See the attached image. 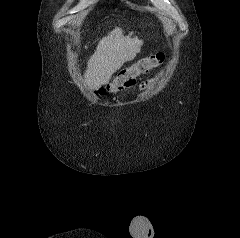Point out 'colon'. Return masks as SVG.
<instances>
[{"label":"colon","instance_id":"obj_1","mask_svg":"<svg viewBox=\"0 0 240 238\" xmlns=\"http://www.w3.org/2000/svg\"><path fill=\"white\" fill-rule=\"evenodd\" d=\"M165 60L164 53H156L139 59L134 64L121 69L106 86L99 88V94L115 93L133 86L139 76L160 66Z\"/></svg>","mask_w":240,"mask_h":238}]
</instances>
